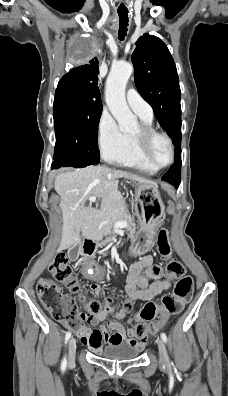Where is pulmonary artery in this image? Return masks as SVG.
<instances>
[{
  "instance_id": "pulmonary-artery-1",
  "label": "pulmonary artery",
  "mask_w": 228,
  "mask_h": 396,
  "mask_svg": "<svg viewBox=\"0 0 228 396\" xmlns=\"http://www.w3.org/2000/svg\"><path fill=\"white\" fill-rule=\"evenodd\" d=\"M126 100L129 107L139 116L152 118L153 110L150 104L144 100V98L139 94V92L130 88L126 92Z\"/></svg>"
}]
</instances>
